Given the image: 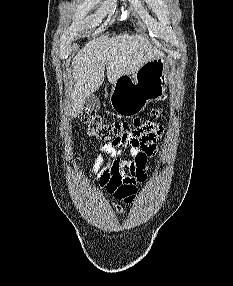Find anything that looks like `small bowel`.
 Returning a JSON list of instances; mask_svg holds the SVG:
<instances>
[{
  "label": "small bowel",
  "mask_w": 233,
  "mask_h": 286,
  "mask_svg": "<svg viewBox=\"0 0 233 286\" xmlns=\"http://www.w3.org/2000/svg\"><path fill=\"white\" fill-rule=\"evenodd\" d=\"M162 136L163 127L148 122L139 134L100 146V150L109 159L106 163L97 160L92 174L100 188L114 197V206L118 213L123 212L120 202H132L138 184L146 180L148 159L157 154L158 142ZM124 151H127V158L124 157Z\"/></svg>",
  "instance_id": "obj_1"
}]
</instances>
